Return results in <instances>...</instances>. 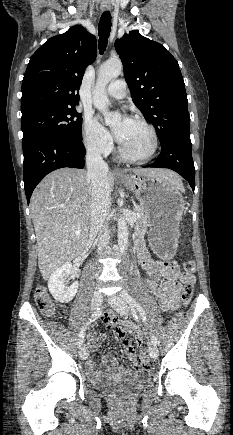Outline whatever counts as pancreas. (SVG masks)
I'll list each match as a JSON object with an SVG mask.
<instances>
[{"label":"pancreas","mask_w":233,"mask_h":435,"mask_svg":"<svg viewBox=\"0 0 233 435\" xmlns=\"http://www.w3.org/2000/svg\"><path fill=\"white\" fill-rule=\"evenodd\" d=\"M135 213L139 214V218L136 221L135 233L137 236H144L148 229V221L145 216L144 210L141 206L135 208Z\"/></svg>","instance_id":"1"}]
</instances>
